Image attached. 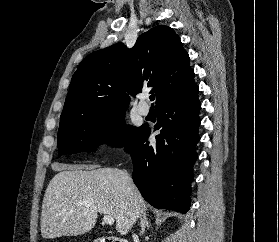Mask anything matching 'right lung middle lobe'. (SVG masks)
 Instances as JSON below:
<instances>
[{
	"label": "right lung middle lobe",
	"mask_w": 279,
	"mask_h": 242,
	"mask_svg": "<svg viewBox=\"0 0 279 242\" xmlns=\"http://www.w3.org/2000/svg\"><path fill=\"white\" fill-rule=\"evenodd\" d=\"M125 112L106 118H89L59 126L58 146L59 156L79 152L95 151L99 144L110 137L121 135L116 147L129 146L142 127H126Z\"/></svg>",
	"instance_id": "dd1d6c3e"
}]
</instances>
